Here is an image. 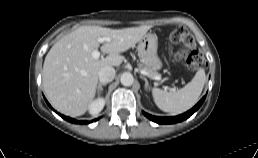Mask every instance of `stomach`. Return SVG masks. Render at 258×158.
<instances>
[{
  "label": "stomach",
  "mask_w": 258,
  "mask_h": 158,
  "mask_svg": "<svg viewBox=\"0 0 258 158\" xmlns=\"http://www.w3.org/2000/svg\"><path fill=\"white\" fill-rule=\"evenodd\" d=\"M158 40L154 34H145L138 43V56L145 67L157 71L162 68V62L157 54Z\"/></svg>",
  "instance_id": "1"
}]
</instances>
